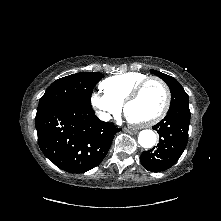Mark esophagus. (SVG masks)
Listing matches in <instances>:
<instances>
[{
    "instance_id": "obj_1",
    "label": "esophagus",
    "mask_w": 221,
    "mask_h": 221,
    "mask_svg": "<svg viewBox=\"0 0 221 221\" xmlns=\"http://www.w3.org/2000/svg\"><path fill=\"white\" fill-rule=\"evenodd\" d=\"M125 132L129 133V134H137L136 130H130V129H125Z\"/></svg>"
}]
</instances>
